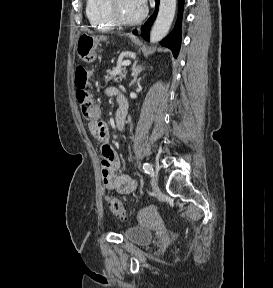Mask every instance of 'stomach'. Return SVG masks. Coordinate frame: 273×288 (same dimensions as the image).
<instances>
[{
	"instance_id": "0dacf381",
	"label": "stomach",
	"mask_w": 273,
	"mask_h": 288,
	"mask_svg": "<svg viewBox=\"0 0 273 288\" xmlns=\"http://www.w3.org/2000/svg\"><path fill=\"white\" fill-rule=\"evenodd\" d=\"M98 37L82 34L76 44V53L83 61H89L95 54Z\"/></svg>"
}]
</instances>
